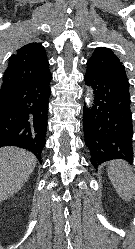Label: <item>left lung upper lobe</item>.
Here are the masks:
<instances>
[{
	"label": "left lung upper lobe",
	"instance_id": "1",
	"mask_svg": "<svg viewBox=\"0 0 135 249\" xmlns=\"http://www.w3.org/2000/svg\"><path fill=\"white\" fill-rule=\"evenodd\" d=\"M87 64L94 65L110 75L128 79L122 62H120L119 58L108 48H96Z\"/></svg>",
	"mask_w": 135,
	"mask_h": 249
}]
</instances>
